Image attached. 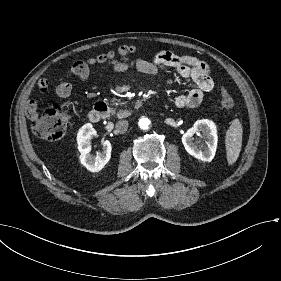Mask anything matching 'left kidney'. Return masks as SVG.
<instances>
[{
    "mask_svg": "<svg viewBox=\"0 0 281 281\" xmlns=\"http://www.w3.org/2000/svg\"><path fill=\"white\" fill-rule=\"evenodd\" d=\"M202 132L206 138V146L198 147L193 142V135ZM217 129L213 121L208 119L197 120L193 127L188 129L182 136V143L185 150L197 159L205 162H211L215 156L217 148Z\"/></svg>",
    "mask_w": 281,
    "mask_h": 281,
    "instance_id": "left-kidney-1",
    "label": "left kidney"
}]
</instances>
